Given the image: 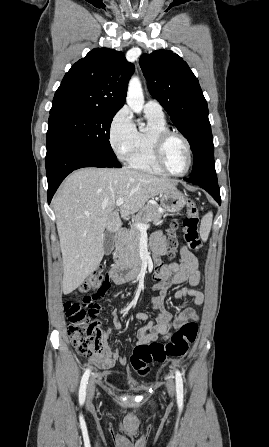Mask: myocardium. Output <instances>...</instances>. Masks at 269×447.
Listing matches in <instances>:
<instances>
[{"label":"myocardium","mask_w":269,"mask_h":447,"mask_svg":"<svg viewBox=\"0 0 269 447\" xmlns=\"http://www.w3.org/2000/svg\"><path fill=\"white\" fill-rule=\"evenodd\" d=\"M172 138H178L183 141L187 150L188 162L185 169L180 172L172 170L166 161V145ZM153 150L154 157L158 165L171 175L182 176L189 171L192 165V147L190 141L183 134L177 131L166 130L155 133L153 137Z\"/></svg>","instance_id":"1"}]
</instances>
